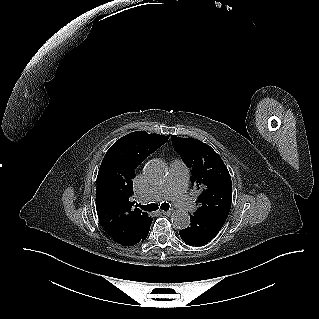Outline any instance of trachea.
<instances>
[{
	"mask_svg": "<svg viewBox=\"0 0 319 319\" xmlns=\"http://www.w3.org/2000/svg\"><path fill=\"white\" fill-rule=\"evenodd\" d=\"M136 206L141 208L144 211H155L159 208L158 205L155 203H151V204H147V205L136 204ZM160 208L162 210L167 211V210H169L170 205L168 203L164 202L161 204Z\"/></svg>",
	"mask_w": 319,
	"mask_h": 319,
	"instance_id": "obj_1",
	"label": "trachea"
}]
</instances>
